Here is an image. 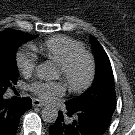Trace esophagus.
<instances>
[{
	"instance_id": "esophagus-1",
	"label": "esophagus",
	"mask_w": 135,
	"mask_h": 135,
	"mask_svg": "<svg viewBox=\"0 0 135 135\" xmlns=\"http://www.w3.org/2000/svg\"><path fill=\"white\" fill-rule=\"evenodd\" d=\"M32 104L34 107H43L46 104L39 99H33Z\"/></svg>"
}]
</instances>
